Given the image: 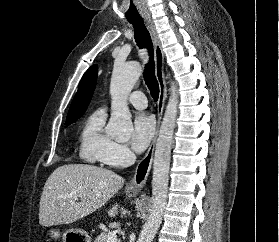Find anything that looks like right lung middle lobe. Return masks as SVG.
Segmentation results:
<instances>
[{
	"instance_id": "dd1d6c3e",
	"label": "right lung middle lobe",
	"mask_w": 279,
	"mask_h": 242,
	"mask_svg": "<svg viewBox=\"0 0 279 242\" xmlns=\"http://www.w3.org/2000/svg\"><path fill=\"white\" fill-rule=\"evenodd\" d=\"M74 121L72 122H66V126L70 125L71 123H73Z\"/></svg>"
}]
</instances>
